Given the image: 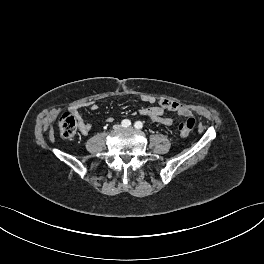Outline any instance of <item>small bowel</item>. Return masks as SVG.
<instances>
[{"label": "small bowel", "instance_id": "obj_1", "mask_svg": "<svg viewBox=\"0 0 264 264\" xmlns=\"http://www.w3.org/2000/svg\"><path fill=\"white\" fill-rule=\"evenodd\" d=\"M142 100L146 103L153 104L155 99L153 97H143ZM83 106L89 107L92 111H96L98 109V105L93 102H88ZM165 110L168 111H176L184 116H190L191 112L185 106L170 100H162L158 106H147L143 107L139 110L140 114L146 117L151 118L152 120L170 126L173 124V119L164 116ZM75 115L78 119L79 130L83 135L89 134L92 129V125L88 122H85L80 113L75 110ZM111 118L108 119L110 121Z\"/></svg>", "mask_w": 264, "mask_h": 264}]
</instances>
